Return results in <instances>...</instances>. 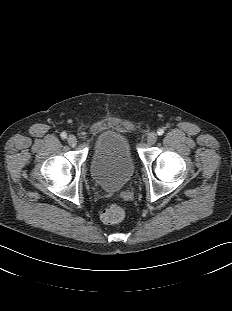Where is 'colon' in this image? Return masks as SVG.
<instances>
[{
    "mask_svg": "<svg viewBox=\"0 0 232 311\" xmlns=\"http://www.w3.org/2000/svg\"><path fill=\"white\" fill-rule=\"evenodd\" d=\"M125 216V210L120 204H112L101 213V219L107 224H117Z\"/></svg>",
    "mask_w": 232,
    "mask_h": 311,
    "instance_id": "colon-1",
    "label": "colon"
}]
</instances>
